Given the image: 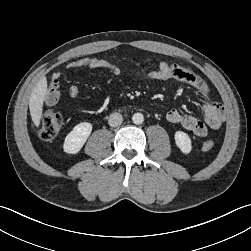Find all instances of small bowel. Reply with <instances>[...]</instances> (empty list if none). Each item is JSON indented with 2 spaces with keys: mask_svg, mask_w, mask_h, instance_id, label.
Masks as SVG:
<instances>
[{
  "mask_svg": "<svg viewBox=\"0 0 251 251\" xmlns=\"http://www.w3.org/2000/svg\"><path fill=\"white\" fill-rule=\"evenodd\" d=\"M68 68H90V69H106L112 75L117 76L119 69L110 61L99 58H82L71 62ZM137 76L141 79L160 80V81H175L186 83L196 90H198L203 96L202 110L203 118L182 113L177 109H171L166 114V119L173 124L181 125L188 131L193 132L198 137H205L208 134L209 129H218L223 120L224 112L221 104L213 102L210 98V89L207 83L197 75L192 69L185 65L168 63L166 61L160 62L158 69L148 72H139ZM114 79L110 78L105 83L111 85ZM60 73L55 72L52 74L48 91L46 94V104L53 105L57 102L60 91ZM79 94V88L76 85H72L69 88V95L72 98L77 97Z\"/></svg>",
  "mask_w": 251,
  "mask_h": 251,
  "instance_id": "c3829d8e",
  "label": "small bowel"
}]
</instances>
